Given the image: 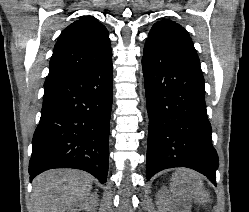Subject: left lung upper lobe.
I'll return each mask as SVG.
<instances>
[{
  "mask_svg": "<svg viewBox=\"0 0 249 212\" xmlns=\"http://www.w3.org/2000/svg\"><path fill=\"white\" fill-rule=\"evenodd\" d=\"M153 48L161 49L174 57L200 65L188 32L175 22L162 20L153 25L144 50Z\"/></svg>",
  "mask_w": 249,
  "mask_h": 212,
  "instance_id": "left-lung-upper-lobe-1",
  "label": "left lung upper lobe"
}]
</instances>
